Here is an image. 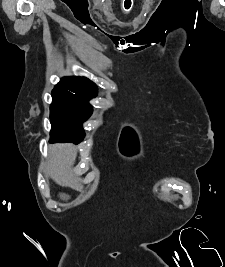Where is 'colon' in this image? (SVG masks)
<instances>
[{"label": "colon", "mask_w": 225, "mask_h": 267, "mask_svg": "<svg viewBox=\"0 0 225 267\" xmlns=\"http://www.w3.org/2000/svg\"><path fill=\"white\" fill-rule=\"evenodd\" d=\"M130 8H131V1L128 2V3H124V9H125L126 11H129Z\"/></svg>", "instance_id": "5ec220e1"}]
</instances>
